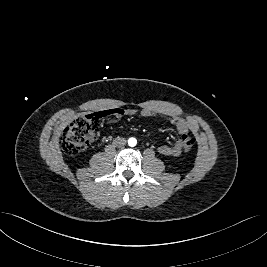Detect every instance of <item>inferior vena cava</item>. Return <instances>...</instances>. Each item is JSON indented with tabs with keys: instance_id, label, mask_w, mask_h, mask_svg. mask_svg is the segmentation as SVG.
Returning <instances> with one entry per match:
<instances>
[{
	"instance_id": "inferior-vena-cava-1",
	"label": "inferior vena cava",
	"mask_w": 267,
	"mask_h": 267,
	"mask_svg": "<svg viewBox=\"0 0 267 267\" xmlns=\"http://www.w3.org/2000/svg\"><path fill=\"white\" fill-rule=\"evenodd\" d=\"M126 144V139L118 137L117 139L114 140V145L117 147H122Z\"/></svg>"
}]
</instances>
